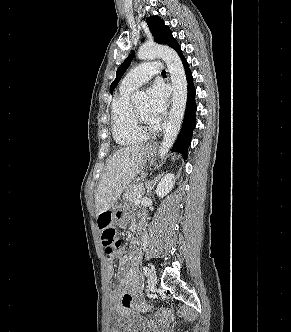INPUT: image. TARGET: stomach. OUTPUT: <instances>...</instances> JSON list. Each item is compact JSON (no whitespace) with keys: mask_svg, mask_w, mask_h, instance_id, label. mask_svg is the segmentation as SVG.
Masks as SVG:
<instances>
[{"mask_svg":"<svg viewBox=\"0 0 291 332\" xmlns=\"http://www.w3.org/2000/svg\"><path fill=\"white\" fill-rule=\"evenodd\" d=\"M154 148L153 147H149L146 149L144 157L146 158V160H151L153 155H154ZM123 208L124 206L121 204H117L114 207V212H113V217L116 223H118L121 220V216H122V212H123Z\"/></svg>","mask_w":291,"mask_h":332,"instance_id":"stomach-1","label":"stomach"}]
</instances>
